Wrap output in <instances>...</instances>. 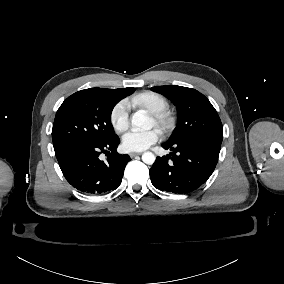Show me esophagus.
I'll return each instance as SVG.
<instances>
[{
    "mask_svg": "<svg viewBox=\"0 0 284 284\" xmlns=\"http://www.w3.org/2000/svg\"><path fill=\"white\" fill-rule=\"evenodd\" d=\"M141 154H142L141 152H131L129 155L131 158H134L135 156L141 155Z\"/></svg>",
    "mask_w": 284,
    "mask_h": 284,
    "instance_id": "esophagus-1",
    "label": "esophagus"
}]
</instances>
